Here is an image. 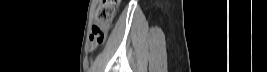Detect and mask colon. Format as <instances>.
Segmentation results:
<instances>
[{
	"mask_svg": "<svg viewBox=\"0 0 267 72\" xmlns=\"http://www.w3.org/2000/svg\"><path fill=\"white\" fill-rule=\"evenodd\" d=\"M119 3V0H102L99 2L95 11V23L90 31V43L101 45L105 41Z\"/></svg>",
	"mask_w": 267,
	"mask_h": 72,
	"instance_id": "1",
	"label": "colon"
}]
</instances>
